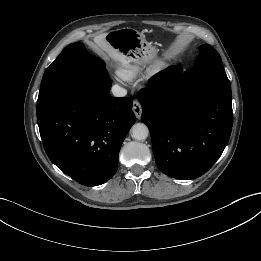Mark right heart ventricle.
<instances>
[{
  "label": "right heart ventricle",
  "mask_w": 261,
  "mask_h": 261,
  "mask_svg": "<svg viewBox=\"0 0 261 261\" xmlns=\"http://www.w3.org/2000/svg\"><path fill=\"white\" fill-rule=\"evenodd\" d=\"M119 76L124 80H132L138 74V68L131 64H123L118 69Z\"/></svg>",
  "instance_id": "1"
}]
</instances>
